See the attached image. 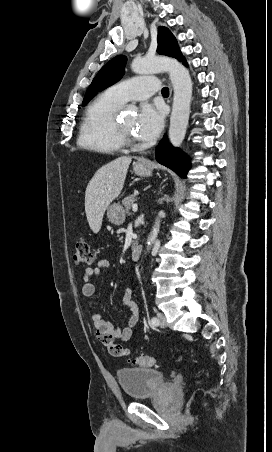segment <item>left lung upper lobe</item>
Segmentation results:
<instances>
[{"mask_svg":"<svg viewBox=\"0 0 272 452\" xmlns=\"http://www.w3.org/2000/svg\"><path fill=\"white\" fill-rule=\"evenodd\" d=\"M157 42L159 54L174 57L178 60L183 57L175 37L167 28L161 26L158 28ZM126 61V56L118 55L100 69L87 89L82 106H85L98 92L122 78Z\"/></svg>","mask_w":272,"mask_h":452,"instance_id":"left-lung-upper-lobe-1","label":"left lung upper lobe"}]
</instances>
